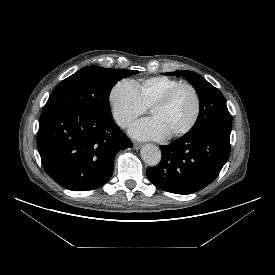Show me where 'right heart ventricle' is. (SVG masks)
Listing matches in <instances>:
<instances>
[{"label": "right heart ventricle", "mask_w": 275, "mask_h": 275, "mask_svg": "<svg viewBox=\"0 0 275 275\" xmlns=\"http://www.w3.org/2000/svg\"><path fill=\"white\" fill-rule=\"evenodd\" d=\"M180 83L179 80L167 76H154L141 79L135 85L139 98L147 109L151 108L169 89Z\"/></svg>", "instance_id": "1"}]
</instances>
